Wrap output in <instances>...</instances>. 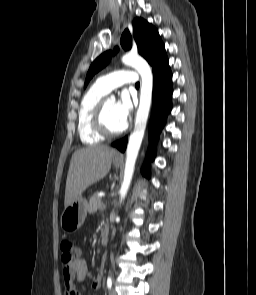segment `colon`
<instances>
[{
	"label": "colon",
	"instance_id": "5ec220e1",
	"mask_svg": "<svg viewBox=\"0 0 256 295\" xmlns=\"http://www.w3.org/2000/svg\"><path fill=\"white\" fill-rule=\"evenodd\" d=\"M80 250L72 240H64L61 243V263L65 267L72 265L79 257Z\"/></svg>",
	"mask_w": 256,
	"mask_h": 295
}]
</instances>
